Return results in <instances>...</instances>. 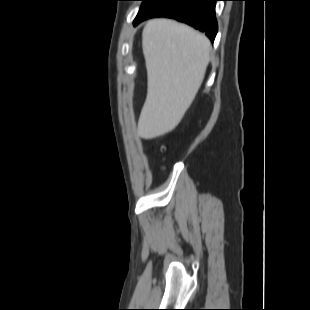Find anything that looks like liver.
Wrapping results in <instances>:
<instances>
[{
	"label": "liver",
	"mask_w": 310,
	"mask_h": 310,
	"mask_svg": "<svg viewBox=\"0 0 310 310\" xmlns=\"http://www.w3.org/2000/svg\"><path fill=\"white\" fill-rule=\"evenodd\" d=\"M148 90L137 134L153 139L171 132L193 102L209 62L210 41L170 19L148 21L142 34Z\"/></svg>",
	"instance_id": "liver-1"
}]
</instances>
